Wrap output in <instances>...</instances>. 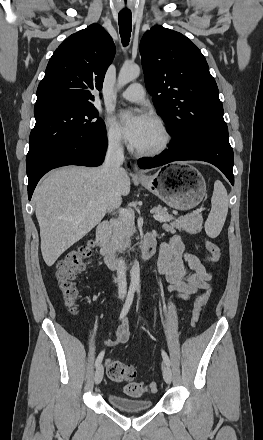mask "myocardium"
<instances>
[{
    "mask_svg": "<svg viewBox=\"0 0 263 440\" xmlns=\"http://www.w3.org/2000/svg\"><path fill=\"white\" fill-rule=\"evenodd\" d=\"M150 121L157 127L161 134V141L158 145L149 148V149H138L134 148V152L138 156L142 157H153L160 155L167 151L172 144L173 135L166 125V123L159 117L153 116L150 118Z\"/></svg>",
    "mask_w": 263,
    "mask_h": 440,
    "instance_id": "myocardium-1",
    "label": "myocardium"
}]
</instances>
